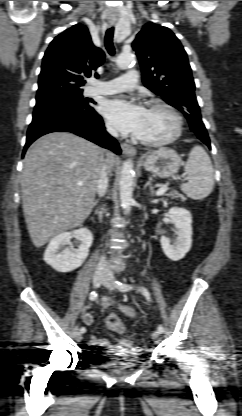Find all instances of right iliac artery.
Returning <instances> with one entry per match:
<instances>
[{
  "label": "right iliac artery",
  "instance_id": "1",
  "mask_svg": "<svg viewBox=\"0 0 242 416\" xmlns=\"http://www.w3.org/2000/svg\"><path fill=\"white\" fill-rule=\"evenodd\" d=\"M97 297H98V294H97L96 291H92L90 293V295H89V299L91 301H95L97 299ZM80 331H81V333H85L86 332V328L85 327H81Z\"/></svg>",
  "mask_w": 242,
  "mask_h": 416
}]
</instances>
